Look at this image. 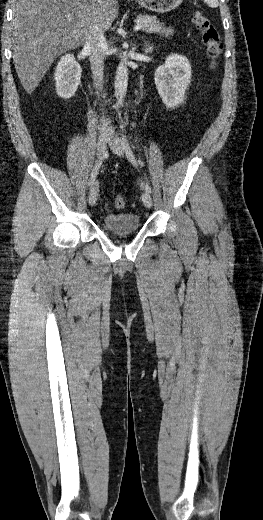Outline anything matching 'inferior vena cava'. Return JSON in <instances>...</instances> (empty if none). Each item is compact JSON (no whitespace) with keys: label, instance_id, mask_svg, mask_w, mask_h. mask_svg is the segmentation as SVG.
I'll return each instance as SVG.
<instances>
[{"label":"inferior vena cava","instance_id":"obj_1","mask_svg":"<svg viewBox=\"0 0 263 520\" xmlns=\"http://www.w3.org/2000/svg\"><path fill=\"white\" fill-rule=\"evenodd\" d=\"M84 47L89 52L94 85L98 91H102V82L104 77V58L107 49V42L104 37V31L97 21H94L91 24L85 39ZM108 130L109 126L105 123V120H102L100 131L105 132Z\"/></svg>","mask_w":263,"mask_h":520}]
</instances>
